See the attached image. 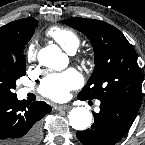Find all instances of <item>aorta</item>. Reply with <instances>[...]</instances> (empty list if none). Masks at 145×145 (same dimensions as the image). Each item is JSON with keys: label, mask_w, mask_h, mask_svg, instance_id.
I'll list each match as a JSON object with an SVG mask.
<instances>
[{"label": "aorta", "mask_w": 145, "mask_h": 145, "mask_svg": "<svg viewBox=\"0 0 145 145\" xmlns=\"http://www.w3.org/2000/svg\"><path fill=\"white\" fill-rule=\"evenodd\" d=\"M38 62L53 70H63L68 66V57L62 53L57 45H49L39 50L37 55ZM69 122L76 130H85L92 123V114L85 107H76L69 112Z\"/></svg>", "instance_id": "aorta-1"}]
</instances>
